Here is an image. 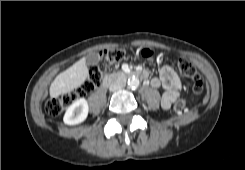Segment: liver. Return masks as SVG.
<instances>
[{
	"label": "liver",
	"instance_id": "liver-1",
	"mask_svg": "<svg viewBox=\"0 0 245 170\" xmlns=\"http://www.w3.org/2000/svg\"><path fill=\"white\" fill-rule=\"evenodd\" d=\"M85 60L84 57L81 58L54 79L49 90L51 98H57L59 95L68 93L85 82L89 75Z\"/></svg>",
	"mask_w": 245,
	"mask_h": 170
}]
</instances>
